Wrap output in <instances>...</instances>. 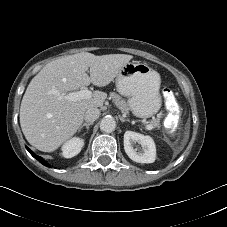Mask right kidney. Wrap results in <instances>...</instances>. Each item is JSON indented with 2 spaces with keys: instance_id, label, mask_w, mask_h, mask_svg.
Instances as JSON below:
<instances>
[{
  "instance_id": "right-kidney-1",
  "label": "right kidney",
  "mask_w": 227,
  "mask_h": 227,
  "mask_svg": "<svg viewBox=\"0 0 227 227\" xmlns=\"http://www.w3.org/2000/svg\"><path fill=\"white\" fill-rule=\"evenodd\" d=\"M84 145V140L78 137H74L68 140L62 146V156L65 158H72L80 153L82 147Z\"/></svg>"
}]
</instances>
